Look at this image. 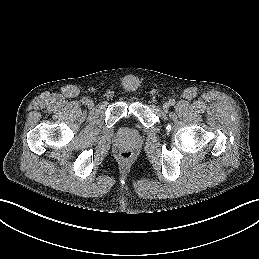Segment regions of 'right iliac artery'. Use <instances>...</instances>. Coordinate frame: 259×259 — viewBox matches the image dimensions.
Listing matches in <instances>:
<instances>
[{
  "instance_id": "obj_1",
  "label": "right iliac artery",
  "mask_w": 259,
  "mask_h": 259,
  "mask_svg": "<svg viewBox=\"0 0 259 259\" xmlns=\"http://www.w3.org/2000/svg\"><path fill=\"white\" fill-rule=\"evenodd\" d=\"M87 102H88V99H87V98H83V99H82V103H83V104H87Z\"/></svg>"
}]
</instances>
